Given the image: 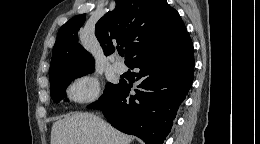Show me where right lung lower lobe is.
<instances>
[{
	"instance_id": "98d812e1",
	"label": "right lung lower lobe",
	"mask_w": 260,
	"mask_h": 144,
	"mask_svg": "<svg viewBox=\"0 0 260 144\" xmlns=\"http://www.w3.org/2000/svg\"><path fill=\"white\" fill-rule=\"evenodd\" d=\"M139 68L141 83L129 94L131 83L120 82L88 108L100 109L118 130L162 144L170 132L178 107L193 82V44L188 33L180 40L134 58L127 64Z\"/></svg>"
}]
</instances>
